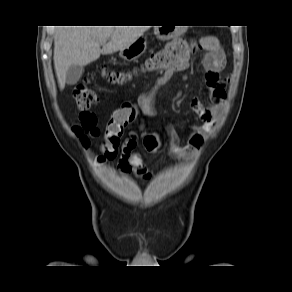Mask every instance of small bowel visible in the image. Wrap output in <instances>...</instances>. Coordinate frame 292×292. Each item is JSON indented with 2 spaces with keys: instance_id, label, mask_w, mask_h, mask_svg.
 Returning a JSON list of instances; mask_svg holds the SVG:
<instances>
[{
  "instance_id": "small-bowel-1",
  "label": "small bowel",
  "mask_w": 292,
  "mask_h": 292,
  "mask_svg": "<svg viewBox=\"0 0 292 292\" xmlns=\"http://www.w3.org/2000/svg\"><path fill=\"white\" fill-rule=\"evenodd\" d=\"M200 44L207 51L203 58V66L206 71L205 83L211 95L212 104L203 106L197 97L191 100V108L199 114L201 124L191 128L186 144L182 145L179 135L174 130L169 129L168 152L181 157L193 155L208 139L220 118L226 100L225 85L219 76L225 65L223 49L214 37L203 38ZM187 67V61L171 67L157 80L155 87L158 88L166 84L176 73L186 70ZM118 169L124 174H134L144 180L151 178V173L137 152L135 136H131L123 143Z\"/></svg>"
}]
</instances>
